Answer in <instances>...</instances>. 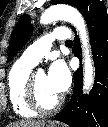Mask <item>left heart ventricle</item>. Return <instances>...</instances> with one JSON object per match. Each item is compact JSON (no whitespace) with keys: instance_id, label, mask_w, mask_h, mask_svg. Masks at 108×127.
Wrapping results in <instances>:
<instances>
[{"instance_id":"obj_1","label":"left heart ventricle","mask_w":108,"mask_h":127,"mask_svg":"<svg viewBox=\"0 0 108 127\" xmlns=\"http://www.w3.org/2000/svg\"><path fill=\"white\" fill-rule=\"evenodd\" d=\"M36 86L42 103L47 106L51 105L59 97L48 86L47 75L44 72L36 73Z\"/></svg>"}]
</instances>
